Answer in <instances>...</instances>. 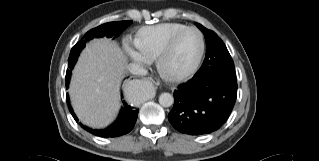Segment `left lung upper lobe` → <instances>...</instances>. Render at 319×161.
<instances>
[{
  "label": "left lung upper lobe",
  "mask_w": 319,
  "mask_h": 161,
  "mask_svg": "<svg viewBox=\"0 0 319 161\" xmlns=\"http://www.w3.org/2000/svg\"><path fill=\"white\" fill-rule=\"evenodd\" d=\"M206 40V56L201 68L194 77L221 75L236 80L234 62L221 38L198 24Z\"/></svg>",
  "instance_id": "left-lung-upper-lobe-1"
}]
</instances>
